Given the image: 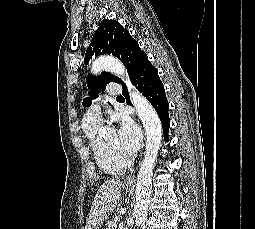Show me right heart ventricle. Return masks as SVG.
<instances>
[{
    "label": "right heart ventricle",
    "instance_id": "1",
    "mask_svg": "<svg viewBox=\"0 0 255 229\" xmlns=\"http://www.w3.org/2000/svg\"><path fill=\"white\" fill-rule=\"evenodd\" d=\"M99 126L83 125L84 134L88 140L89 147L97 166L111 176H118L125 172L127 164L117 159L98 138Z\"/></svg>",
    "mask_w": 255,
    "mask_h": 229
}]
</instances>
